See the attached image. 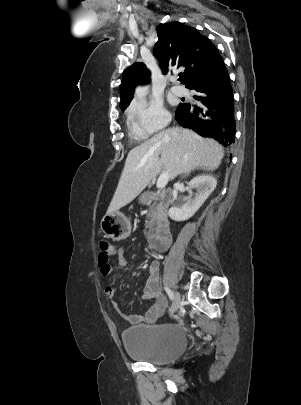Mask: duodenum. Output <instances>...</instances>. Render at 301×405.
<instances>
[{"label": "duodenum", "instance_id": "obj_1", "mask_svg": "<svg viewBox=\"0 0 301 405\" xmlns=\"http://www.w3.org/2000/svg\"><path fill=\"white\" fill-rule=\"evenodd\" d=\"M159 203V217L156 229L149 237V243L157 251H165L170 244L171 232L168 219V210L172 201L171 189H162L156 193Z\"/></svg>", "mask_w": 301, "mask_h": 405}]
</instances>
